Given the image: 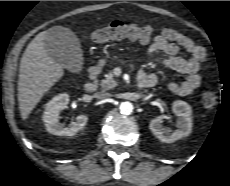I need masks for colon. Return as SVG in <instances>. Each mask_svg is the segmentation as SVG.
Here are the masks:
<instances>
[{
  "mask_svg": "<svg viewBox=\"0 0 230 186\" xmlns=\"http://www.w3.org/2000/svg\"><path fill=\"white\" fill-rule=\"evenodd\" d=\"M155 29L151 26H138L122 21H114L110 25L96 29L88 34L87 38L91 42L104 43L121 39L138 40L143 44L152 41ZM203 105L213 108L218 102V95L212 86H208L202 94Z\"/></svg>",
  "mask_w": 230,
  "mask_h": 186,
  "instance_id": "1",
  "label": "colon"
}]
</instances>
